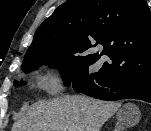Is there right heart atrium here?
I'll return each mask as SVG.
<instances>
[{
  "mask_svg": "<svg viewBox=\"0 0 151 131\" xmlns=\"http://www.w3.org/2000/svg\"><path fill=\"white\" fill-rule=\"evenodd\" d=\"M40 83L44 89L50 92H57L61 86V79L54 68H47L40 75Z\"/></svg>",
  "mask_w": 151,
  "mask_h": 131,
  "instance_id": "d8ad5b80",
  "label": "right heart atrium"
}]
</instances>
